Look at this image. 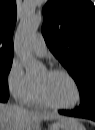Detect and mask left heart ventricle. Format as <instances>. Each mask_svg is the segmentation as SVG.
<instances>
[{
    "label": "left heart ventricle",
    "mask_w": 95,
    "mask_h": 130,
    "mask_svg": "<svg viewBox=\"0 0 95 130\" xmlns=\"http://www.w3.org/2000/svg\"><path fill=\"white\" fill-rule=\"evenodd\" d=\"M46 96L55 104L62 106L73 105L77 100V91L74 84L62 74L42 72L36 79Z\"/></svg>",
    "instance_id": "obj_1"
}]
</instances>
